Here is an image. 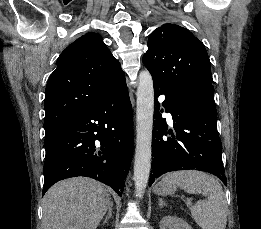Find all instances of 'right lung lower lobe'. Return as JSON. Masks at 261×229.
Returning <instances> with one entry per match:
<instances>
[{
	"label": "right lung lower lobe",
	"instance_id": "98d812e1",
	"mask_svg": "<svg viewBox=\"0 0 261 229\" xmlns=\"http://www.w3.org/2000/svg\"><path fill=\"white\" fill-rule=\"evenodd\" d=\"M42 195L56 182L86 176L119 196L133 152V117L126 83L87 112L45 136Z\"/></svg>",
	"mask_w": 261,
	"mask_h": 229
}]
</instances>
